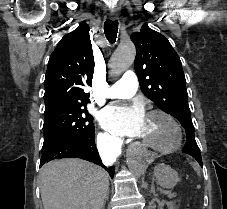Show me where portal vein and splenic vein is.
<instances>
[{
    "label": "portal vein and splenic vein",
    "instance_id": "portal-vein-and-splenic-vein-1",
    "mask_svg": "<svg viewBox=\"0 0 227 209\" xmlns=\"http://www.w3.org/2000/svg\"><path fill=\"white\" fill-rule=\"evenodd\" d=\"M171 191L170 190H168V189H161L160 190V193L161 194H166L165 196L166 197H169L170 199L171 198H174L176 195L174 194V193H170ZM169 193V194H168Z\"/></svg>",
    "mask_w": 227,
    "mask_h": 209
}]
</instances>
